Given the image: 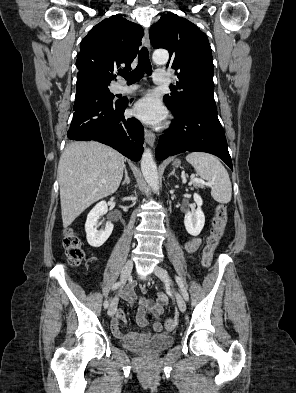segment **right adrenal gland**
Instances as JSON below:
<instances>
[{
	"mask_svg": "<svg viewBox=\"0 0 296 393\" xmlns=\"http://www.w3.org/2000/svg\"><path fill=\"white\" fill-rule=\"evenodd\" d=\"M124 170H125V178H124V180L122 182V186H124L125 184L129 185L130 181H131L130 177L128 176V171H127L126 165L124 166Z\"/></svg>",
	"mask_w": 296,
	"mask_h": 393,
	"instance_id": "1",
	"label": "right adrenal gland"
}]
</instances>
